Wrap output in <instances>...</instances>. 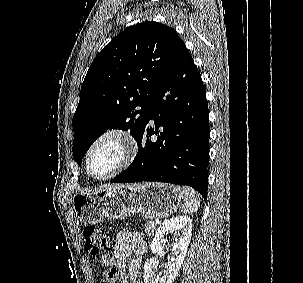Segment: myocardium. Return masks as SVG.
Instances as JSON below:
<instances>
[{"instance_id":"myocardium-1","label":"myocardium","mask_w":303,"mask_h":283,"mask_svg":"<svg viewBox=\"0 0 303 283\" xmlns=\"http://www.w3.org/2000/svg\"><path fill=\"white\" fill-rule=\"evenodd\" d=\"M106 139H115L121 144L122 152H123L122 158L120 162L117 164V166L110 173L100 177L94 176L89 169L90 158L94 149ZM137 153H138L137 141L129 130L120 127L107 128L99 135H97L90 143L89 147L87 148L85 159H84L86 174L88 175L89 178L95 181L109 180L117 176L118 174L122 173L127 168H129L131 164L134 162Z\"/></svg>"}]
</instances>
